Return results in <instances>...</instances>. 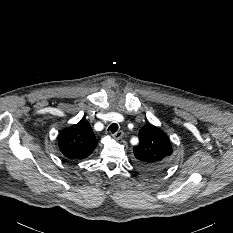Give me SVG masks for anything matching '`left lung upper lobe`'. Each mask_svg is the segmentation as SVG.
Instances as JSON below:
<instances>
[{"label": "left lung upper lobe", "instance_id": "left-lung-upper-lobe-1", "mask_svg": "<svg viewBox=\"0 0 233 233\" xmlns=\"http://www.w3.org/2000/svg\"><path fill=\"white\" fill-rule=\"evenodd\" d=\"M140 143L133 148L137 166L147 174H158L170 164L172 147L169 138L160 128L147 124L139 132Z\"/></svg>", "mask_w": 233, "mask_h": 233}]
</instances>
